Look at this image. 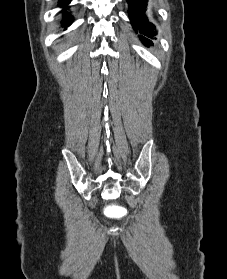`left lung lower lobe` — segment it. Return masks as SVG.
Returning a JSON list of instances; mask_svg holds the SVG:
<instances>
[{
	"mask_svg": "<svg viewBox=\"0 0 227 279\" xmlns=\"http://www.w3.org/2000/svg\"><path fill=\"white\" fill-rule=\"evenodd\" d=\"M129 8L128 15L131 20V24L137 33V29L140 33L146 35L147 37L153 38L156 34L154 25L148 21L146 16L147 2L148 0H127ZM142 42L147 45H151L152 42L140 36Z\"/></svg>",
	"mask_w": 227,
	"mask_h": 279,
	"instance_id": "1",
	"label": "left lung lower lobe"
}]
</instances>
